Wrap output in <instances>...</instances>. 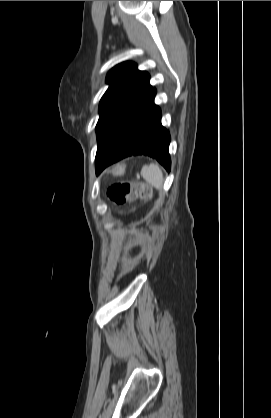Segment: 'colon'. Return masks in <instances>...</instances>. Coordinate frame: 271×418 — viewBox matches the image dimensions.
Returning a JSON list of instances; mask_svg holds the SVG:
<instances>
[{
	"label": "colon",
	"instance_id": "colon-1",
	"mask_svg": "<svg viewBox=\"0 0 271 418\" xmlns=\"http://www.w3.org/2000/svg\"><path fill=\"white\" fill-rule=\"evenodd\" d=\"M107 195L110 201L120 205L136 196L141 199H148L150 188L145 183L138 181L118 182L109 187Z\"/></svg>",
	"mask_w": 271,
	"mask_h": 418
}]
</instances>
